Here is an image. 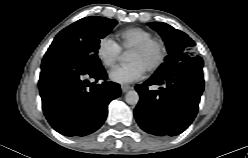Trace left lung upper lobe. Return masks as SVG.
Here are the masks:
<instances>
[{"mask_svg":"<svg viewBox=\"0 0 248 158\" xmlns=\"http://www.w3.org/2000/svg\"><path fill=\"white\" fill-rule=\"evenodd\" d=\"M148 25L163 37L168 51V56L154 76H161L180 62L195 56L191 50L196 44L184 32L175 30L172 26L162 22H151Z\"/></svg>","mask_w":248,"mask_h":158,"instance_id":"obj_1","label":"left lung upper lobe"}]
</instances>
